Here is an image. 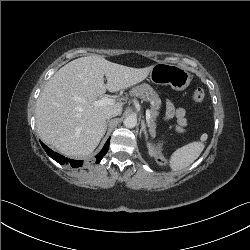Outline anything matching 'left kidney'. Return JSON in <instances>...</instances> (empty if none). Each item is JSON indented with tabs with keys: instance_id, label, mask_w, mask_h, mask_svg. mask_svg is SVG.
Returning a JSON list of instances; mask_svg holds the SVG:
<instances>
[{
	"instance_id": "left-kidney-1",
	"label": "left kidney",
	"mask_w": 250,
	"mask_h": 250,
	"mask_svg": "<svg viewBox=\"0 0 250 250\" xmlns=\"http://www.w3.org/2000/svg\"><path fill=\"white\" fill-rule=\"evenodd\" d=\"M147 147H148V152L151 156L156 157L157 156V147H155L154 145H152L151 143H147Z\"/></svg>"
}]
</instances>
